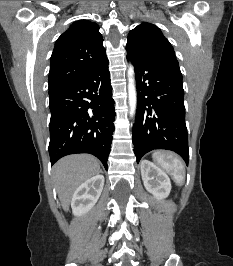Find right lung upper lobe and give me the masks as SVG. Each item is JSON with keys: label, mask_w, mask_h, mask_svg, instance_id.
<instances>
[{"label": "right lung upper lobe", "mask_w": 233, "mask_h": 266, "mask_svg": "<svg viewBox=\"0 0 233 266\" xmlns=\"http://www.w3.org/2000/svg\"><path fill=\"white\" fill-rule=\"evenodd\" d=\"M107 60L96 23L74 22L56 41L51 56L49 93L78 80Z\"/></svg>", "instance_id": "right-lung-upper-lobe-1"}]
</instances>
